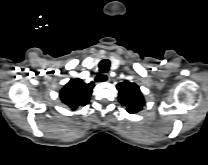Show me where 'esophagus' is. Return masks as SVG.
Wrapping results in <instances>:
<instances>
[{
    "label": "esophagus",
    "mask_w": 208,
    "mask_h": 165,
    "mask_svg": "<svg viewBox=\"0 0 208 165\" xmlns=\"http://www.w3.org/2000/svg\"><path fill=\"white\" fill-rule=\"evenodd\" d=\"M98 80H101V81H110V76L109 74H103L101 76L98 77Z\"/></svg>",
    "instance_id": "1"
}]
</instances>
